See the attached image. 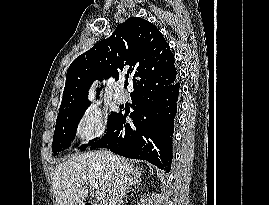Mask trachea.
Listing matches in <instances>:
<instances>
[{"label": "trachea", "mask_w": 269, "mask_h": 205, "mask_svg": "<svg viewBox=\"0 0 269 205\" xmlns=\"http://www.w3.org/2000/svg\"><path fill=\"white\" fill-rule=\"evenodd\" d=\"M127 85H128L127 83H126V84H124V87H125V88H127Z\"/></svg>", "instance_id": "trachea-1"}]
</instances>
